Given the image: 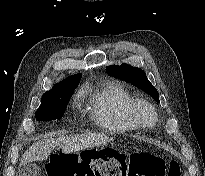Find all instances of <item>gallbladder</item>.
I'll return each mask as SVG.
<instances>
[{
  "mask_svg": "<svg viewBox=\"0 0 205 176\" xmlns=\"http://www.w3.org/2000/svg\"><path fill=\"white\" fill-rule=\"evenodd\" d=\"M40 168L35 163L20 165L18 176H39Z\"/></svg>",
  "mask_w": 205,
  "mask_h": 176,
  "instance_id": "obj_1",
  "label": "gallbladder"
}]
</instances>
